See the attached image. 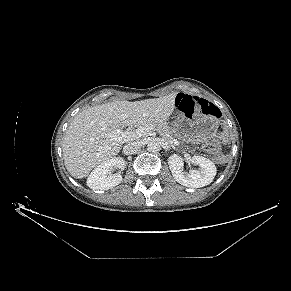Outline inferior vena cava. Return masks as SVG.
Returning a JSON list of instances; mask_svg holds the SVG:
<instances>
[{
  "mask_svg": "<svg viewBox=\"0 0 291 291\" xmlns=\"http://www.w3.org/2000/svg\"><path fill=\"white\" fill-rule=\"evenodd\" d=\"M141 145L138 142H129L123 147L125 155H132L140 149Z\"/></svg>",
  "mask_w": 291,
  "mask_h": 291,
  "instance_id": "602c4592",
  "label": "inferior vena cava"
}]
</instances>
